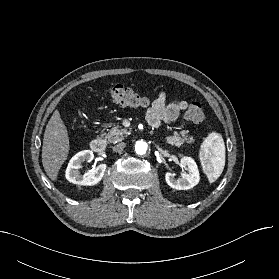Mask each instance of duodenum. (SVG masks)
Returning a JSON list of instances; mask_svg holds the SVG:
<instances>
[{
	"label": "duodenum",
	"instance_id": "410a0bca",
	"mask_svg": "<svg viewBox=\"0 0 279 279\" xmlns=\"http://www.w3.org/2000/svg\"><path fill=\"white\" fill-rule=\"evenodd\" d=\"M106 148V143L102 138H96L91 142V149L96 153H102Z\"/></svg>",
	"mask_w": 279,
	"mask_h": 279
}]
</instances>
